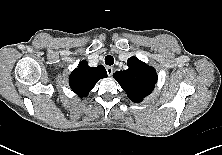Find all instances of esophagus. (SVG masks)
<instances>
[{"label": "esophagus", "mask_w": 222, "mask_h": 155, "mask_svg": "<svg viewBox=\"0 0 222 155\" xmlns=\"http://www.w3.org/2000/svg\"><path fill=\"white\" fill-rule=\"evenodd\" d=\"M106 71H107L108 76H112L114 69L113 67L108 66L106 67Z\"/></svg>", "instance_id": "1"}]
</instances>
